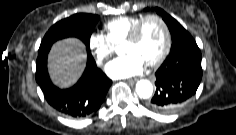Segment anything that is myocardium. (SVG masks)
Listing matches in <instances>:
<instances>
[{"label": "myocardium", "instance_id": "myocardium-1", "mask_svg": "<svg viewBox=\"0 0 236 135\" xmlns=\"http://www.w3.org/2000/svg\"><path fill=\"white\" fill-rule=\"evenodd\" d=\"M148 19H155V20H157L161 24V26H162V28L164 30V35H165L164 47H163L160 55L158 56V58L156 60L147 63L148 67L153 68V67L159 66L164 61V59L168 55L170 47H171L170 30H169V27H168L167 23L165 22V20L161 16H159L157 14H147V15L143 16L134 25V27L132 28L129 36L123 42V45H125V44H132V43H135L137 41V39L139 37V34H140V31H141V28H142L144 22L147 21Z\"/></svg>", "mask_w": 236, "mask_h": 135}]
</instances>
